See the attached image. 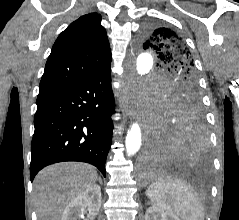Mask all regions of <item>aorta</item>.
Here are the masks:
<instances>
[{
	"label": "aorta",
	"instance_id": "aorta-1",
	"mask_svg": "<svg viewBox=\"0 0 239 220\" xmlns=\"http://www.w3.org/2000/svg\"><path fill=\"white\" fill-rule=\"evenodd\" d=\"M151 51H142L141 54L134 58L136 60V70H132L136 77H147L152 78L154 76H150V71H154L153 69V59L151 57ZM142 143V133L141 128L138 123H133V125L128 130L125 147L127 156L135 155L141 147Z\"/></svg>",
	"mask_w": 239,
	"mask_h": 220
}]
</instances>
